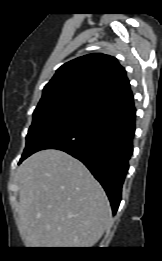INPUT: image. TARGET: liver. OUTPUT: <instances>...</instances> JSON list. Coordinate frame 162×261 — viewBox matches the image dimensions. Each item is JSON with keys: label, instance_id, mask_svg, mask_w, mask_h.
Returning a JSON list of instances; mask_svg holds the SVG:
<instances>
[{"label": "liver", "instance_id": "obj_1", "mask_svg": "<svg viewBox=\"0 0 162 261\" xmlns=\"http://www.w3.org/2000/svg\"><path fill=\"white\" fill-rule=\"evenodd\" d=\"M19 217L33 248L96 244L111 219L108 198L89 170L69 154L37 152L18 169Z\"/></svg>", "mask_w": 162, "mask_h": 261}]
</instances>
